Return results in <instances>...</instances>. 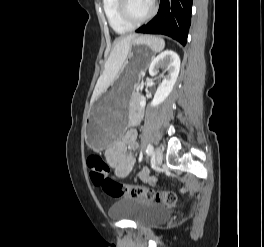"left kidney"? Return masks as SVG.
<instances>
[{"mask_svg":"<svg viewBox=\"0 0 264 247\" xmlns=\"http://www.w3.org/2000/svg\"><path fill=\"white\" fill-rule=\"evenodd\" d=\"M165 69L168 72L167 77H164L162 83L158 87L151 106L155 107L164 102L170 95L177 76L180 71V58L178 54L172 50H166L155 57L149 66V74L154 76L158 74L159 69Z\"/></svg>","mask_w":264,"mask_h":247,"instance_id":"1","label":"left kidney"}]
</instances>
